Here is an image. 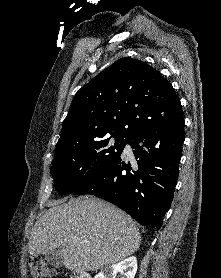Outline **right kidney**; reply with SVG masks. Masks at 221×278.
Masks as SVG:
<instances>
[{
    "label": "right kidney",
    "instance_id": "1",
    "mask_svg": "<svg viewBox=\"0 0 221 278\" xmlns=\"http://www.w3.org/2000/svg\"><path fill=\"white\" fill-rule=\"evenodd\" d=\"M136 271L137 259L132 256L117 264L103 268L94 278H116L117 273L120 274V278H134Z\"/></svg>",
    "mask_w": 221,
    "mask_h": 278
}]
</instances>
